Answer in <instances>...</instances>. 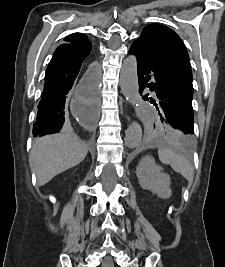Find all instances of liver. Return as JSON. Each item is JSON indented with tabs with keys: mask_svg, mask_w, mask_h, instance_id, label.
<instances>
[{
	"mask_svg": "<svg viewBox=\"0 0 225 267\" xmlns=\"http://www.w3.org/2000/svg\"><path fill=\"white\" fill-rule=\"evenodd\" d=\"M88 147L73 133L45 136L34 142L29 164L40 186L81 163Z\"/></svg>",
	"mask_w": 225,
	"mask_h": 267,
	"instance_id": "obj_1",
	"label": "liver"
}]
</instances>
